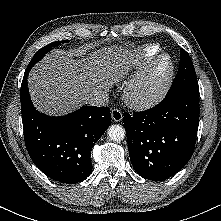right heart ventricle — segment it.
<instances>
[{
  "instance_id": "e07e8e85",
  "label": "right heart ventricle",
  "mask_w": 221,
  "mask_h": 221,
  "mask_svg": "<svg viewBox=\"0 0 221 221\" xmlns=\"http://www.w3.org/2000/svg\"><path fill=\"white\" fill-rule=\"evenodd\" d=\"M161 48L157 44H150L144 48L143 55L146 61H151L154 57H156Z\"/></svg>"
}]
</instances>
